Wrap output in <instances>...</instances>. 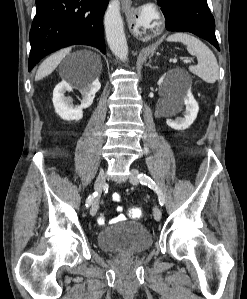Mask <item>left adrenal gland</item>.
<instances>
[{
	"label": "left adrenal gland",
	"instance_id": "a2214340",
	"mask_svg": "<svg viewBox=\"0 0 247 299\" xmlns=\"http://www.w3.org/2000/svg\"><path fill=\"white\" fill-rule=\"evenodd\" d=\"M146 66H149L150 68L154 69V67L151 66V59H149V62L146 64Z\"/></svg>",
	"mask_w": 247,
	"mask_h": 299
}]
</instances>
